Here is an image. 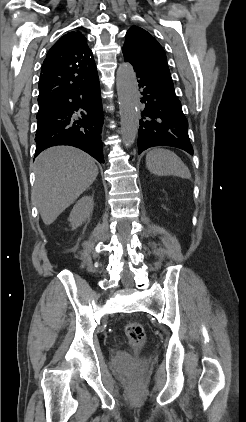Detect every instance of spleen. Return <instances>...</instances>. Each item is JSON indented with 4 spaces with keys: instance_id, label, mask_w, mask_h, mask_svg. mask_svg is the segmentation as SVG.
<instances>
[{
    "instance_id": "1",
    "label": "spleen",
    "mask_w": 246,
    "mask_h": 422,
    "mask_svg": "<svg viewBox=\"0 0 246 422\" xmlns=\"http://www.w3.org/2000/svg\"><path fill=\"white\" fill-rule=\"evenodd\" d=\"M147 169L156 175H175L184 179H190L191 173L188 167L173 151L163 148H154L146 155Z\"/></svg>"
}]
</instances>
